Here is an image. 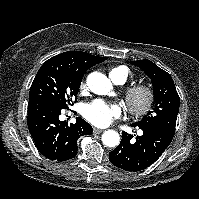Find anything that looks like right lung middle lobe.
<instances>
[{
    "label": "right lung middle lobe",
    "mask_w": 199,
    "mask_h": 199,
    "mask_svg": "<svg viewBox=\"0 0 199 199\" xmlns=\"http://www.w3.org/2000/svg\"><path fill=\"white\" fill-rule=\"evenodd\" d=\"M81 80L82 76L44 63L31 85L29 99L36 96H47L57 101L65 109H69V106L73 105V100H77Z\"/></svg>",
    "instance_id": "dd1d6c3e"
}]
</instances>
